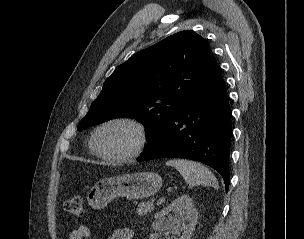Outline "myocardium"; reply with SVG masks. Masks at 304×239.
<instances>
[{
  "label": "myocardium",
  "mask_w": 304,
  "mask_h": 239,
  "mask_svg": "<svg viewBox=\"0 0 304 239\" xmlns=\"http://www.w3.org/2000/svg\"><path fill=\"white\" fill-rule=\"evenodd\" d=\"M124 124L132 127L136 132V143L127 152L122 154L104 153L97 145V136L99 132L110 125ZM148 142V131L144 123L131 116H116L109 118L100 123L93 131L90 138V146L92 151L100 158L111 162H126L138 157L145 149Z\"/></svg>",
  "instance_id": "myocardium-1"
}]
</instances>
